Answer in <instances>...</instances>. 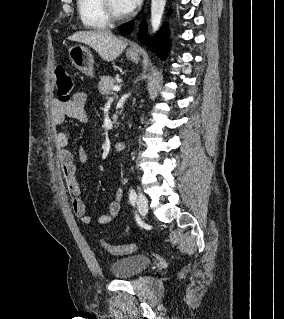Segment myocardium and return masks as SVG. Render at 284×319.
Instances as JSON below:
<instances>
[{"label":"myocardium","mask_w":284,"mask_h":319,"mask_svg":"<svg viewBox=\"0 0 284 319\" xmlns=\"http://www.w3.org/2000/svg\"><path fill=\"white\" fill-rule=\"evenodd\" d=\"M103 9L110 21L121 22L129 17V14H118L112 7L110 0H102Z\"/></svg>","instance_id":"f54148a6"}]
</instances>
